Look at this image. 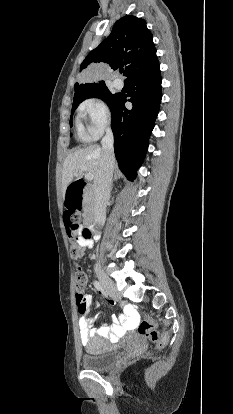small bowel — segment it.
I'll return each mask as SVG.
<instances>
[{
  "label": "small bowel",
  "instance_id": "1",
  "mask_svg": "<svg viewBox=\"0 0 233 414\" xmlns=\"http://www.w3.org/2000/svg\"><path fill=\"white\" fill-rule=\"evenodd\" d=\"M78 235H81V232H78ZM78 244L82 248H91L93 246V241L88 238L78 237L77 238ZM77 273L78 271V267ZM77 307L81 318L79 319V329H80V338L82 344H87L91 340V338L95 334L94 324L96 322L95 317H91L88 314L90 310V306L94 303V299L91 295H85V299ZM110 306L113 309H116L119 306V303L116 300L110 301ZM120 306L124 309V312L119 316L113 317V325L107 326L103 325L98 330V334L104 337H110L111 340H117L120 336H122L126 331L134 330L139 324V315L133 308V302H127L123 300L120 303Z\"/></svg>",
  "mask_w": 233,
  "mask_h": 414
}]
</instances>
